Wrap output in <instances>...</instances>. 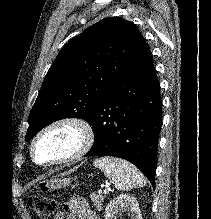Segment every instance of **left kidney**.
<instances>
[{"instance_id": "1", "label": "left kidney", "mask_w": 211, "mask_h": 219, "mask_svg": "<svg viewBox=\"0 0 211 219\" xmlns=\"http://www.w3.org/2000/svg\"><path fill=\"white\" fill-rule=\"evenodd\" d=\"M129 211L131 219H142L137 200L130 195H121L113 199L105 209V219H116Z\"/></svg>"}]
</instances>
